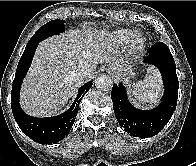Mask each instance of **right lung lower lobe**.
Masks as SVG:
<instances>
[{
  "mask_svg": "<svg viewBox=\"0 0 196 166\" xmlns=\"http://www.w3.org/2000/svg\"><path fill=\"white\" fill-rule=\"evenodd\" d=\"M38 44L27 45L20 58L12 85L11 107L18 126L30 139L39 144H52L63 140L69 134L78 113L79 103L92 87V82L84 84L79 89L72 106L64 113L45 118H35L27 115L20 108L19 93L23 78L30 67Z\"/></svg>",
  "mask_w": 196,
  "mask_h": 166,
  "instance_id": "obj_1",
  "label": "right lung lower lobe"
}]
</instances>
